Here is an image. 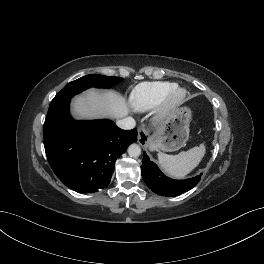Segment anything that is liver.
<instances>
[{"label": "liver", "mask_w": 264, "mask_h": 264, "mask_svg": "<svg viewBox=\"0 0 264 264\" xmlns=\"http://www.w3.org/2000/svg\"><path fill=\"white\" fill-rule=\"evenodd\" d=\"M72 112L78 119L122 118L129 113L125 98L113 91L89 90L72 102Z\"/></svg>", "instance_id": "1"}]
</instances>
